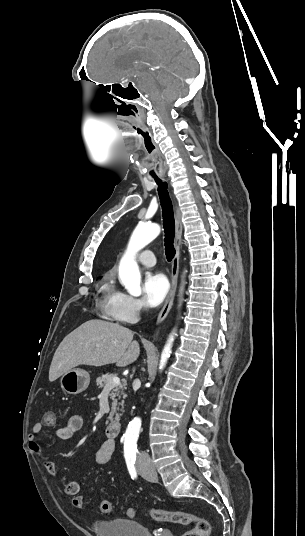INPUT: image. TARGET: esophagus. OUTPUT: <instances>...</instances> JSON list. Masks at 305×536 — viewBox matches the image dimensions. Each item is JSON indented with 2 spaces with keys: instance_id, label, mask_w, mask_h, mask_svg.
<instances>
[{
  "instance_id": "34e87169",
  "label": "esophagus",
  "mask_w": 305,
  "mask_h": 536,
  "mask_svg": "<svg viewBox=\"0 0 305 536\" xmlns=\"http://www.w3.org/2000/svg\"><path fill=\"white\" fill-rule=\"evenodd\" d=\"M175 234H176L175 235V256L172 261L171 288L169 290L168 295L166 296L164 306L158 315L157 324L161 323V321H163L166 318L169 311L171 310V307L173 305V301L175 298L176 289H177V281H178V274H179L180 246H181V239H182V217H181L180 209L176 203H175Z\"/></svg>"
}]
</instances>
